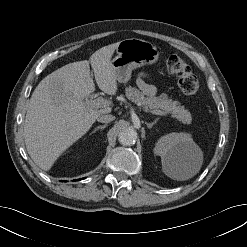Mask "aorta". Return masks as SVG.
I'll return each mask as SVG.
<instances>
[{
    "mask_svg": "<svg viewBox=\"0 0 247 247\" xmlns=\"http://www.w3.org/2000/svg\"><path fill=\"white\" fill-rule=\"evenodd\" d=\"M137 138V133L133 128H125L119 133L118 141L122 145L130 146L134 144Z\"/></svg>",
    "mask_w": 247,
    "mask_h": 247,
    "instance_id": "762f6f07",
    "label": "aorta"
}]
</instances>
